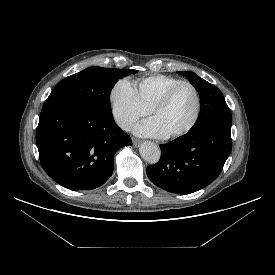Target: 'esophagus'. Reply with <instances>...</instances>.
<instances>
[{
    "label": "esophagus",
    "instance_id": "34e87169",
    "mask_svg": "<svg viewBox=\"0 0 275 275\" xmlns=\"http://www.w3.org/2000/svg\"><path fill=\"white\" fill-rule=\"evenodd\" d=\"M140 144H141V141H140V140H138V139H133V145H134L135 147H139Z\"/></svg>",
    "mask_w": 275,
    "mask_h": 275
}]
</instances>
